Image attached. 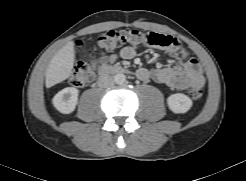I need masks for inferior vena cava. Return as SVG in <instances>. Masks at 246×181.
Here are the masks:
<instances>
[{"label":"inferior vena cava","instance_id":"inferior-vena-cava-1","mask_svg":"<svg viewBox=\"0 0 246 181\" xmlns=\"http://www.w3.org/2000/svg\"><path fill=\"white\" fill-rule=\"evenodd\" d=\"M114 85V79L108 74H103L98 78V86L102 88H108Z\"/></svg>","mask_w":246,"mask_h":181}]
</instances>
